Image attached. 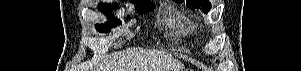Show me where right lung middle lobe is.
<instances>
[{
	"mask_svg": "<svg viewBox=\"0 0 301 71\" xmlns=\"http://www.w3.org/2000/svg\"><path fill=\"white\" fill-rule=\"evenodd\" d=\"M118 6H111V5H107V4H100L99 8L100 10H102V12H104L106 15L109 16L110 20L107 24L104 25H96L97 30L99 32H110V29L116 25H119L121 22L115 18L112 15V9L113 8H117ZM155 5L154 4H145V3H136V9L138 10L139 13H147L150 12L154 9Z\"/></svg>",
	"mask_w": 301,
	"mask_h": 71,
	"instance_id": "obj_1",
	"label": "right lung middle lobe"
}]
</instances>
